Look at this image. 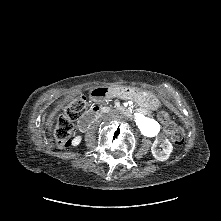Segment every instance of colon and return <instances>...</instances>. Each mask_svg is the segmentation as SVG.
Wrapping results in <instances>:
<instances>
[{
  "mask_svg": "<svg viewBox=\"0 0 221 221\" xmlns=\"http://www.w3.org/2000/svg\"><path fill=\"white\" fill-rule=\"evenodd\" d=\"M87 99L83 94H76L66 97L60 104L61 113L54 122V138L59 147H67L71 143L73 133V121L77 119L84 111ZM159 120L163 123L164 133L171 138L173 144L179 146L184 142V130L170 120L166 111L158 114Z\"/></svg>",
  "mask_w": 221,
  "mask_h": 221,
  "instance_id": "5ec220e1",
  "label": "colon"
}]
</instances>
